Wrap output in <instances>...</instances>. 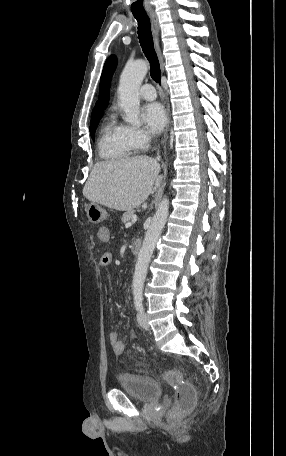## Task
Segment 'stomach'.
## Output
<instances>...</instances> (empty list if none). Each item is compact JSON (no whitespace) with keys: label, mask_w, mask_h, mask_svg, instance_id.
Wrapping results in <instances>:
<instances>
[{"label":"stomach","mask_w":286,"mask_h":456,"mask_svg":"<svg viewBox=\"0 0 286 456\" xmlns=\"http://www.w3.org/2000/svg\"><path fill=\"white\" fill-rule=\"evenodd\" d=\"M88 220L93 224H98L108 216L107 211L97 203H91L86 210Z\"/></svg>","instance_id":"1"}]
</instances>
